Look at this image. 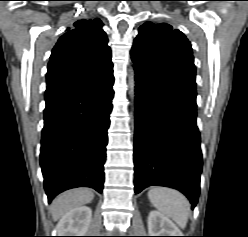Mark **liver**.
Segmentation results:
<instances>
[{"instance_id": "6515ba94", "label": "liver", "mask_w": 248, "mask_h": 237, "mask_svg": "<svg viewBox=\"0 0 248 237\" xmlns=\"http://www.w3.org/2000/svg\"><path fill=\"white\" fill-rule=\"evenodd\" d=\"M93 198V191L87 188H78L62 193L51 204L53 220L57 221L70 210L91 202Z\"/></svg>"}]
</instances>
